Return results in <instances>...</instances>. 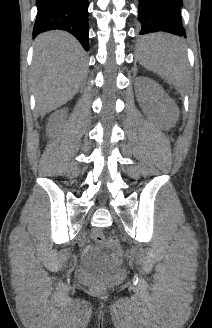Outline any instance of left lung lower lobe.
I'll return each mask as SVG.
<instances>
[{"label":"left lung lower lobe","mask_w":212,"mask_h":328,"mask_svg":"<svg viewBox=\"0 0 212 328\" xmlns=\"http://www.w3.org/2000/svg\"><path fill=\"white\" fill-rule=\"evenodd\" d=\"M183 0H139L138 20L142 24L141 35L151 32H169L185 36L180 8ZM142 44L150 45L148 37Z\"/></svg>","instance_id":"left-lung-lower-lobe-1"}]
</instances>
